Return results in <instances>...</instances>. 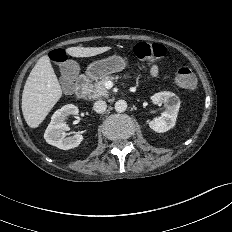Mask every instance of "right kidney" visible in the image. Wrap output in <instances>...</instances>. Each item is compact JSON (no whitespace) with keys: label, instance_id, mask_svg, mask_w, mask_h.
<instances>
[{"label":"right kidney","instance_id":"1","mask_svg":"<svg viewBox=\"0 0 232 232\" xmlns=\"http://www.w3.org/2000/svg\"><path fill=\"white\" fill-rule=\"evenodd\" d=\"M79 109L73 104H67L57 110L51 117L50 124L44 133V139L50 145L56 146L59 149L68 150L77 147L84 139L82 135H74L66 137V131L69 130L64 122L67 116L78 115Z\"/></svg>","mask_w":232,"mask_h":232}]
</instances>
